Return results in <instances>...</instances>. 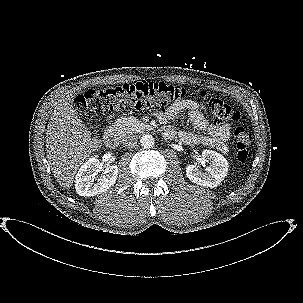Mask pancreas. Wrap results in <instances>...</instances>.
Instances as JSON below:
<instances>
[{"instance_id":"pancreas-1","label":"pancreas","mask_w":303,"mask_h":303,"mask_svg":"<svg viewBox=\"0 0 303 303\" xmlns=\"http://www.w3.org/2000/svg\"><path fill=\"white\" fill-rule=\"evenodd\" d=\"M117 135L124 136L129 133H138L146 129V125L136 117H121L114 124Z\"/></svg>"}]
</instances>
